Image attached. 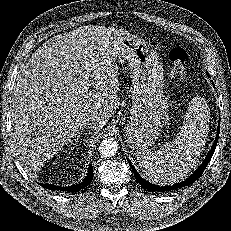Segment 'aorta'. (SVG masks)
Instances as JSON below:
<instances>
[{
    "mask_svg": "<svg viewBox=\"0 0 231 231\" xmlns=\"http://www.w3.org/2000/svg\"><path fill=\"white\" fill-rule=\"evenodd\" d=\"M98 151L102 158H111L118 151V142L114 138H106L101 142Z\"/></svg>",
    "mask_w": 231,
    "mask_h": 231,
    "instance_id": "obj_1",
    "label": "aorta"
}]
</instances>
